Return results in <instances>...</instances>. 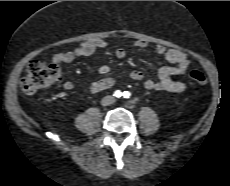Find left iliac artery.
I'll list each match as a JSON object with an SVG mask.
<instances>
[{"label":"left iliac artery","instance_id":"obj_1","mask_svg":"<svg viewBox=\"0 0 230 186\" xmlns=\"http://www.w3.org/2000/svg\"><path fill=\"white\" fill-rule=\"evenodd\" d=\"M124 98L128 99L131 96V93L129 91H125L123 94Z\"/></svg>","mask_w":230,"mask_h":186}]
</instances>
